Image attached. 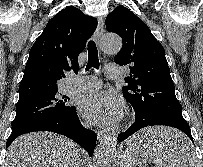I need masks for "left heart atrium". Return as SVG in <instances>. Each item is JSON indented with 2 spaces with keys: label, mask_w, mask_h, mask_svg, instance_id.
<instances>
[{
  "label": "left heart atrium",
  "mask_w": 203,
  "mask_h": 167,
  "mask_svg": "<svg viewBox=\"0 0 203 167\" xmlns=\"http://www.w3.org/2000/svg\"><path fill=\"white\" fill-rule=\"evenodd\" d=\"M123 108L121 98L108 91L87 94L79 102L81 114L89 121L102 126L118 122L122 116Z\"/></svg>",
  "instance_id": "1"
}]
</instances>
